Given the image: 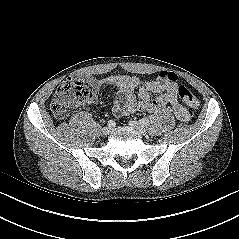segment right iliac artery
<instances>
[{"instance_id":"obj_1","label":"right iliac artery","mask_w":239,"mask_h":239,"mask_svg":"<svg viewBox=\"0 0 239 239\" xmlns=\"http://www.w3.org/2000/svg\"><path fill=\"white\" fill-rule=\"evenodd\" d=\"M115 125H116V123L113 120H110L108 122V126L111 127V128L115 127Z\"/></svg>"}]
</instances>
